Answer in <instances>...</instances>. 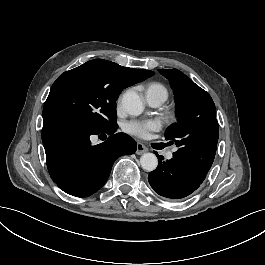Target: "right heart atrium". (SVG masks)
<instances>
[{"mask_svg": "<svg viewBox=\"0 0 265 265\" xmlns=\"http://www.w3.org/2000/svg\"><path fill=\"white\" fill-rule=\"evenodd\" d=\"M116 116H117L119 119H124V118L127 116V111H126L124 108H119V109L116 111Z\"/></svg>", "mask_w": 265, "mask_h": 265, "instance_id": "d8ad5b80", "label": "right heart atrium"}]
</instances>
